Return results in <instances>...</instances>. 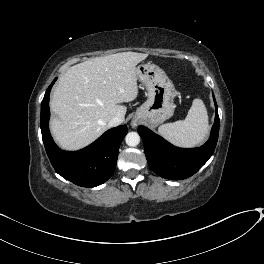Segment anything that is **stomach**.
<instances>
[{
    "label": "stomach",
    "mask_w": 264,
    "mask_h": 264,
    "mask_svg": "<svg viewBox=\"0 0 264 264\" xmlns=\"http://www.w3.org/2000/svg\"><path fill=\"white\" fill-rule=\"evenodd\" d=\"M136 75L147 89V100L136 110L134 120L156 127L174 114V84L159 66L151 63L139 65Z\"/></svg>",
    "instance_id": "obj_1"
}]
</instances>
